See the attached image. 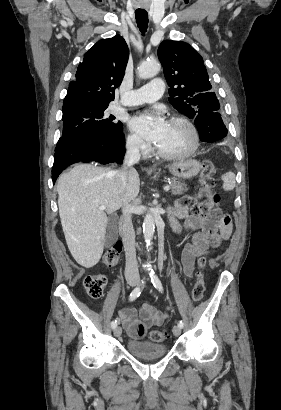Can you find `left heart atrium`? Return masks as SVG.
I'll use <instances>...</instances> for the list:
<instances>
[{"mask_svg": "<svg viewBox=\"0 0 281 410\" xmlns=\"http://www.w3.org/2000/svg\"><path fill=\"white\" fill-rule=\"evenodd\" d=\"M167 123L160 112L141 113L130 120L132 129L155 143L161 139Z\"/></svg>", "mask_w": 281, "mask_h": 410, "instance_id": "left-heart-atrium-1", "label": "left heart atrium"}]
</instances>
